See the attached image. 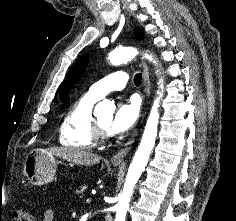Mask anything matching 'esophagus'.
<instances>
[{
    "mask_svg": "<svg viewBox=\"0 0 236 221\" xmlns=\"http://www.w3.org/2000/svg\"><path fill=\"white\" fill-rule=\"evenodd\" d=\"M143 67V86L146 97L148 98L150 95V78H149V69L147 64L142 60ZM145 116L143 113L142 118ZM137 135V131H135L131 138L125 143V145L112 157L111 161L113 163H120L124 160L126 154L131 148V145L134 143L135 137Z\"/></svg>",
    "mask_w": 236,
    "mask_h": 221,
    "instance_id": "esophagus-1",
    "label": "esophagus"
}]
</instances>
